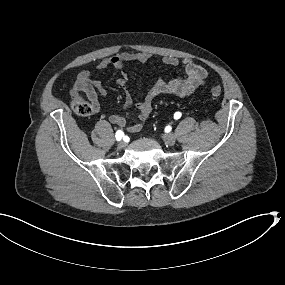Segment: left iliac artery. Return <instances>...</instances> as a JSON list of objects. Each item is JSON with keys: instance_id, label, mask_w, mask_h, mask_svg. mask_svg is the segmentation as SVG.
Here are the masks:
<instances>
[{"instance_id": "1", "label": "left iliac artery", "mask_w": 285, "mask_h": 285, "mask_svg": "<svg viewBox=\"0 0 285 285\" xmlns=\"http://www.w3.org/2000/svg\"><path fill=\"white\" fill-rule=\"evenodd\" d=\"M181 117V113L180 112H176L174 114V119H179Z\"/></svg>"}]
</instances>
